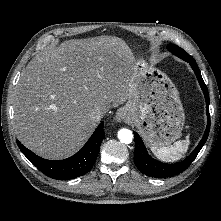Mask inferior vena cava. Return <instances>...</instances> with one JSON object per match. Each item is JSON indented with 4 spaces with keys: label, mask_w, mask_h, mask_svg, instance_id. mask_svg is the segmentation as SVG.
Segmentation results:
<instances>
[{
    "label": "inferior vena cava",
    "mask_w": 221,
    "mask_h": 221,
    "mask_svg": "<svg viewBox=\"0 0 221 221\" xmlns=\"http://www.w3.org/2000/svg\"><path fill=\"white\" fill-rule=\"evenodd\" d=\"M104 116V112L103 111H99V110H94L91 112L90 117L93 120L99 121L101 120V118Z\"/></svg>",
    "instance_id": "602c4592"
}]
</instances>
